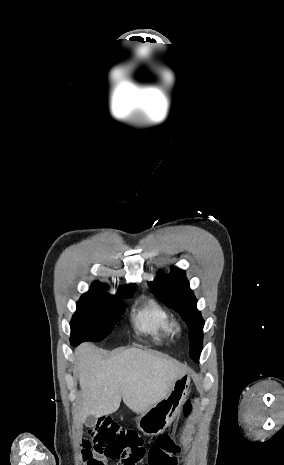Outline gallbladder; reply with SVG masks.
I'll use <instances>...</instances> for the list:
<instances>
[{
    "mask_svg": "<svg viewBox=\"0 0 284 465\" xmlns=\"http://www.w3.org/2000/svg\"><path fill=\"white\" fill-rule=\"evenodd\" d=\"M97 423V419L96 417H93V415H89V417H87V419H85V427H94V425H96Z\"/></svg>",
    "mask_w": 284,
    "mask_h": 465,
    "instance_id": "bac80fb5",
    "label": "gallbladder"
}]
</instances>
